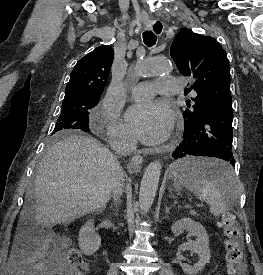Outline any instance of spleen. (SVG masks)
I'll return each mask as SVG.
<instances>
[{
	"mask_svg": "<svg viewBox=\"0 0 263 275\" xmlns=\"http://www.w3.org/2000/svg\"><path fill=\"white\" fill-rule=\"evenodd\" d=\"M170 176L177 186L193 192L219 217L239 197V180L232 167L219 159L187 157L170 166Z\"/></svg>",
	"mask_w": 263,
	"mask_h": 275,
	"instance_id": "3e777b00",
	"label": "spleen"
}]
</instances>
